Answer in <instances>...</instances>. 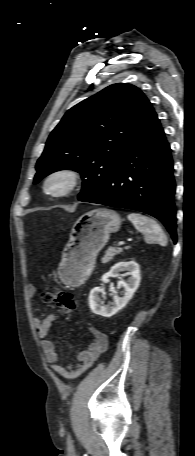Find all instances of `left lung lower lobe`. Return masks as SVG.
Masks as SVG:
<instances>
[{
	"instance_id": "1",
	"label": "left lung lower lobe",
	"mask_w": 195,
	"mask_h": 456,
	"mask_svg": "<svg viewBox=\"0 0 195 456\" xmlns=\"http://www.w3.org/2000/svg\"><path fill=\"white\" fill-rule=\"evenodd\" d=\"M174 194L170 145L151 108L128 139L102 186L82 201L152 215L165 225L176 243Z\"/></svg>"
}]
</instances>
